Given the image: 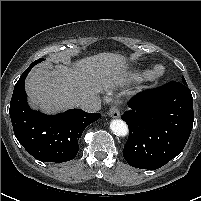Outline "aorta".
<instances>
[{"label":"aorta","instance_id":"aorta-1","mask_svg":"<svg viewBox=\"0 0 201 201\" xmlns=\"http://www.w3.org/2000/svg\"><path fill=\"white\" fill-rule=\"evenodd\" d=\"M112 132L117 136H126L128 134L127 124L120 119H114L110 122Z\"/></svg>","mask_w":201,"mask_h":201}]
</instances>
